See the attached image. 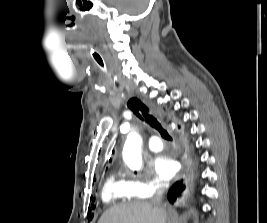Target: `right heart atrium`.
Masks as SVG:
<instances>
[{"instance_id":"d8ad5b80","label":"right heart atrium","mask_w":267,"mask_h":223,"mask_svg":"<svg viewBox=\"0 0 267 223\" xmlns=\"http://www.w3.org/2000/svg\"><path fill=\"white\" fill-rule=\"evenodd\" d=\"M129 186L134 196L148 198L154 196L162 189V184L155 179H145L134 176L129 180Z\"/></svg>"}]
</instances>
